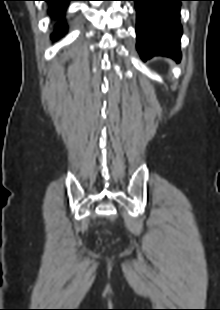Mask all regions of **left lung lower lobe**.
I'll return each instance as SVG.
<instances>
[{"instance_id": "obj_1", "label": "left lung lower lobe", "mask_w": 220, "mask_h": 310, "mask_svg": "<svg viewBox=\"0 0 220 310\" xmlns=\"http://www.w3.org/2000/svg\"><path fill=\"white\" fill-rule=\"evenodd\" d=\"M137 12V50L143 60L154 55L181 59L180 24L181 1L185 0H131Z\"/></svg>"}]
</instances>
